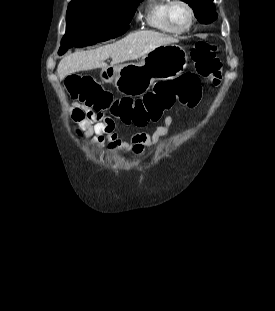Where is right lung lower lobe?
I'll use <instances>...</instances> for the list:
<instances>
[{"instance_id":"obj_1","label":"right lung lower lobe","mask_w":275,"mask_h":311,"mask_svg":"<svg viewBox=\"0 0 275 311\" xmlns=\"http://www.w3.org/2000/svg\"><path fill=\"white\" fill-rule=\"evenodd\" d=\"M127 29H128V28H126V29H125V28H124V29H122V32H121V33H122V34H124V33L127 31ZM122 34H121V35H122Z\"/></svg>"}]
</instances>
